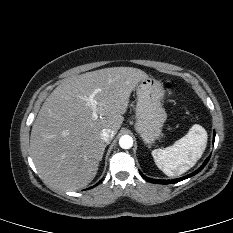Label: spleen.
<instances>
[{"instance_id": "3e777b00", "label": "spleen", "mask_w": 233, "mask_h": 233, "mask_svg": "<svg viewBox=\"0 0 233 233\" xmlns=\"http://www.w3.org/2000/svg\"><path fill=\"white\" fill-rule=\"evenodd\" d=\"M207 144V132L194 124L188 133L165 149H155L152 156L157 167L167 176H179L201 158Z\"/></svg>"}]
</instances>
